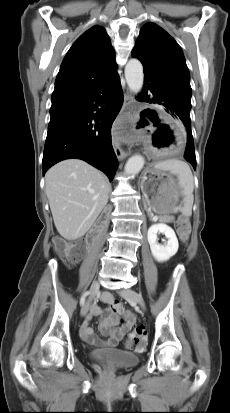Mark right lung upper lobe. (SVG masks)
I'll use <instances>...</instances> for the list:
<instances>
[{
  "label": "right lung upper lobe",
  "instance_id": "1",
  "mask_svg": "<svg viewBox=\"0 0 230 413\" xmlns=\"http://www.w3.org/2000/svg\"><path fill=\"white\" fill-rule=\"evenodd\" d=\"M115 52L100 26L83 33L67 52L55 81L52 101L84 94L116 74Z\"/></svg>",
  "mask_w": 230,
  "mask_h": 413
}]
</instances>
